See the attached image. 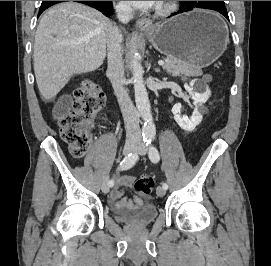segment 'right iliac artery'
<instances>
[{"label":"right iliac artery","instance_id":"obj_1","mask_svg":"<svg viewBox=\"0 0 271 266\" xmlns=\"http://www.w3.org/2000/svg\"><path fill=\"white\" fill-rule=\"evenodd\" d=\"M138 159V156L136 153H130L128 154L120 163L118 170H127L130 169L131 167H133V165L136 163ZM108 184L110 187H112L114 185V181L113 180H109Z\"/></svg>","mask_w":271,"mask_h":266}]
</instances>
